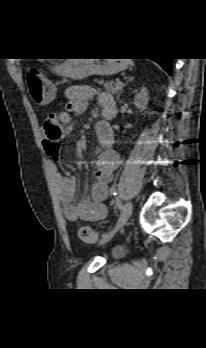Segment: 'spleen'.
<instances>
[{"mask_svg":"<svg viewBox=\"0 0 206 348\" xmlns=\"http://www.w3.org/2000/svg\"><path fill=\"white\" fill-rule=\"evenodd\" d=\"M128 63H129L131 66H133V64H134L131 60H128Z\"/></svg>","mask_w":206,"mask_h":348,"instance_id":"3e777b00","label":"spleen"}]
</instances>
